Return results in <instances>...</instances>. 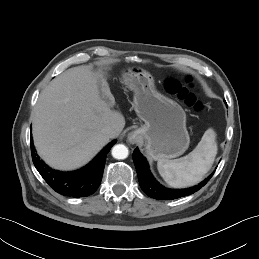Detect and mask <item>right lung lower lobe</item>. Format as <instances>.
Wrapping results in <instances>:
<instances>
[{
	"label": "right lung lower lobe",
	"mask_w": 259,
	"mask_h": 259,
	"mask_svg": "<svg viewBox=\"0 0 259 259\" xmlns=\"http://www.w3.org/2000/svg\"><path fill=\"white\" fill-rule=\"evenodd\" d=\"M115 143L116 140L108 144L86 167L74 172H60L51 169L40 159L31 139L32 160L43 179L57 193L64 196L85 197L98 189L106 156Z\"/></svg>",
	"instance_id": "98d812e1"
}]
</instances>
